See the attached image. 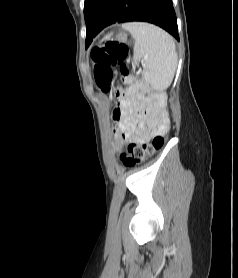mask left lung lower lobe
<instances>
[{
    "instance_id": "0a47b994",
    "label": "left lung lower lobe",
    "mask_w": 238,
    "mask_h": 278,
    "mask_svg": "<svg viewBox=\"0 0 238 278\" xmlns=\"http://www.w3.org/2000/svg\"><path fill=\"white\" fill-rule=\"evenodd\" d=\"M129 21L156 24L179 40L172 0H102L87 28L86 48L106 26Z\"/></svg>"
}]
</instances>
